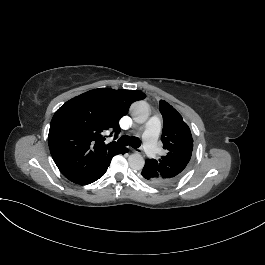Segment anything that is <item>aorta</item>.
<instances>
[{
    "label": "aorta",
    "mask_w": 265,
    "mask_h": 265,
    "mask_svg": "<svg viewBox=\"0 0 265 265\" xmlns=\"http://www.w3.org/2000/svg\"><path fill=\"white\" fill-rule=\"evenodd\" d=\"M130 111L134 121L137 123H144L149 118V107L143 101L133 103ZM128 163L133 170L139 171L143 169L145 160L140 154L134 153L129 156Z\"/></svg>",
    "instance_id": "obj_1"
}]
</instances>
